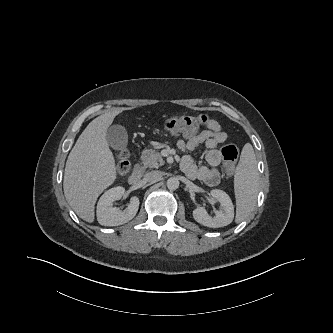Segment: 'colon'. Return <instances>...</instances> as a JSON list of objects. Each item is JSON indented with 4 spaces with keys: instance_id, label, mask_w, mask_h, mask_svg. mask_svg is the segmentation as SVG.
<instances>
[{
    "instance_id": "1",
    "label": "colon",
    "mask_w": 333,
    "mask_h": 333,
    "mask_svg": "<svg viewBox=\"0 0 333 333\" xmlns=\"http://www.w3.org/2000/svg\"><path fill=\"white\" fill-rule=\"evenodd\" d=\"M206 115H185L180 117H172L165 121L164 127L170 134H182L186 136L193 135L202 126L207 123ZM224 161V168L228 173H232L238 160V148L234 144H228L221 150ZM131 165L126 152H120L117 158V170L122 176L127 175Z\"/></svg>"
}]
</instances>
